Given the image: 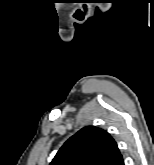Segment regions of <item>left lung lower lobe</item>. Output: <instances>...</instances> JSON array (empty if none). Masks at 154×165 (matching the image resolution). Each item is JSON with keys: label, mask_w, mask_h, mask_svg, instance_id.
Here are the masks:
<instances>
[{"label": "left lung lower lobe", "mask_w": 154, "mask_h": 165, "mask_svg": "<svg viewBox=\"0 0 154 165\" xmlns=\"http://www.w3.org/2000/svg\"><path fill=\"white\" fill-rule=\"evenodd\" d=\"M118 165H124V161H123V159L119 162Z\"/></svg>", "instance_id": "obj_1"}]
</instances>
